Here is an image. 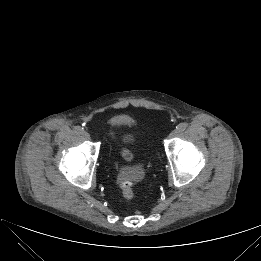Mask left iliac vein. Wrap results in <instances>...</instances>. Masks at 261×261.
<instances>
[{"mask_svg": "<svg viewBox=\"0 0 261 261\" xmlns=\"http://www.w3.org/2000/svg\"><path fill=\"white\" fill-rule=\"evenodd\" d=\"M178 135H179V131L175 129V130L171 131V133L169 134V137L174 138V137H177Z\"/></svg>", "mask_w": 261, "mask_h": 261, "instance_id": "obj_1", "label": "left iliac vein"}]
</instances>
